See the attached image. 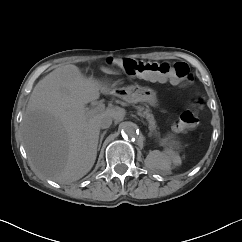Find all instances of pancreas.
Segmentation results:
<instances>
[{"label": "pancreas", "mask_w": 242, "mask_h": 242, "mask_svg": "<svg viewBox=\"0 0 242 242\" xmlns=\"http://www.w3.org/2000/svg\"><path fill=\"white\" fill-rule=\"evenodd\" d=\"M138 115L141 116V117H145L148 120V122H149V129L151 131H154L156 129L154 117L150 113L149 109H145L144 110V108L139 107L138 108Z\"/></svg>", "instance_id": "pancreas-1"}]
</instances>
